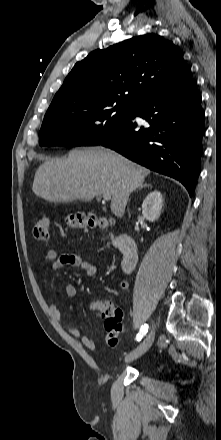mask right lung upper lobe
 I'll return each instance as SVG.
<instances>
[{
	"mask_svg": "<svg viewBox=\"0 0 221 440\" xmlns=\"http://www.w3.org/2000/svg\"><path fill=\"white\" fill-rule=\"evenodd\" d=\"M190 80L189 69L172 42L156 34L141 35L92 51L76 63L47 111L106 103L134 107Z\"/></svg>",
	"mask_w": 221,
	"mask_h": 440,
	"instance_id": "1",
	"label": "right lung upper lobe"
}]
</instances>
